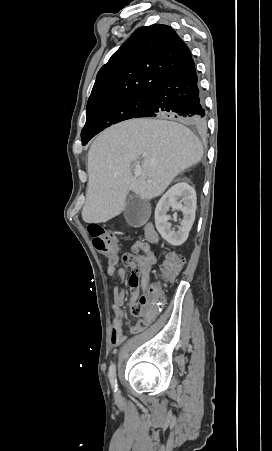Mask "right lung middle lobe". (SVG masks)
I'll return each mask as SVG.
<instances>
[{"label": "right lung middle lobe", "mask_w": 272, "mask_h": 451, "mask_svg": "<svg viewBox=\"0 0 272 451\" xmlns=\"http://www.w3.org/2000/svg\"><path fill=\"white\" fill-rule=\"evenodd\" d=\"M150 95L124 96L104 101L87 109V120L81 132L82 144L105 128L136 118L148 105Z\"/></svg>", "instance_id": "1"}]
</instances>
